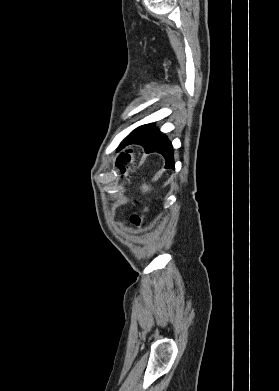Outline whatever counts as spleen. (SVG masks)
I'll return each mask as SVG.
<instances>
[{"label": "spleen", "instance_id": "1", "mask_svg": "<svg viewBox=\"0 0 279 391\" xmlns=\"http://www.w3.org/2000/svg\"><path fill=\"white\" fill-rule=\"evenodd\" d=\"M142 190H143L144 192H146V191L149 190V187H148L147 185H143V186H142Z\"/></svg>", "mask_w": 279, "mask_h": 391}]
</instances>
